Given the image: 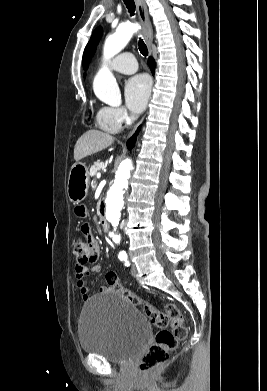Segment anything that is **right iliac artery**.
<instances>
[{"mask_svg":"<svg viewBox=\"0 0 267 391\" xmlns=\"http://www.w3.org/2000/svg\"><path fill=\"white\" fill-rule=\"evenodd\" d=\"M125 261H126V260H125ZM126 265L129 266V262H128V261H126Z\"/></svg>","mask_w":267,"mask_h":391,"instance_id":"obj_1","label":"right iliac artery"}]
</instances>
